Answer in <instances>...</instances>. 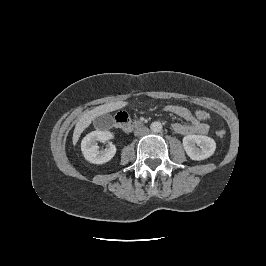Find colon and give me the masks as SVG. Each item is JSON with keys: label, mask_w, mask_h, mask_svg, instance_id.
I'll list each match as a JSON object with an SVG mask.
<instances>
[{"label": "colon", "mask_w": 266, "mask_h": 266, "mask_svg": "<svg viewBox=\"0 0 266 266\" xmlns=\"http://www.w3.org/2000/svg\"><path fill=\"white\" fill-rule=\"evenodd\" d=\"M194 115L199 121H207L210 119V114L205 110H197L195 111ZM225 133V130H218L216 132V135L219 138H223L225 136Z\"/></svg>", "instance_id": "obj_1"}]
</instances>
